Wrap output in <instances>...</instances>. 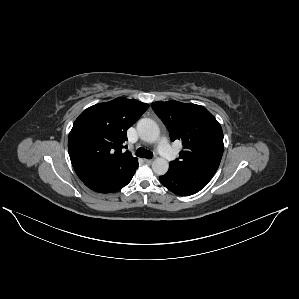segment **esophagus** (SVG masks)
<instances>
[{"label":"esophagus","instance_id":"34e87169","mask_svg":"<svg viewBox=\"0 0 299 299\" xmlns=\"http://www.w3.org/2000/svg\"><path fill=\"white\" fill-rule=\"evenodd\" d=\"M145 163L151 164L153 162V159H144Z\"/></svg>","mask_w":299,"mask_h":299}]
</instances>
